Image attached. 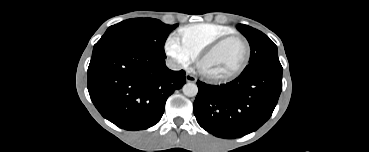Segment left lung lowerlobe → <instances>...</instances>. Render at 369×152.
Masks as SVG:
<instances>
[{
	"label": "left lung lower lobe",
	"instance_id": "left-lung-lower-lobe-1",
	"mask_svg": "<svg viewBox=\"0 0 369 152\" xmlns=\"http://www.w3.org/2000/svg\"><path fill=\"white\" fill-rule=\"evenodd\" d=\"M194 115L198 124L219 138H238L256 131L272 115L282 90V69L241 73L233 81L208 85L197 81Z\"/></svg>",
	"mask_w": 369,
	"mask_h": 152
}]
</instances>
